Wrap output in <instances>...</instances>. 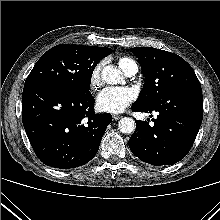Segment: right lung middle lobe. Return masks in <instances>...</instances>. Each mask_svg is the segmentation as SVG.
I'll return each mask as SVG.
<instances>
[{"label": "right lung middle lobe", "instance_id": "obj_1", "mask_svg": "<svg viewBox=\"0 0 220 220\" xmlns=\"http://www.w3.org/2000/svg\"><path fill=\"white\" fill-rule=\"evenodd\" d=\"M102 58L91 46H54L36 62L24 87L49 85L81 93L89 92L93 70Z\"/></svg>", "mask_w": 220, "mask_h": 220}]
</instances>
